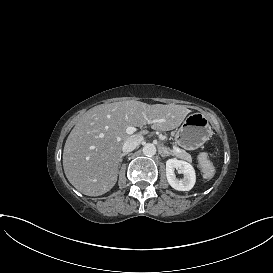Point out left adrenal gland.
<instances>
[{
  "instance_id": "1",
  "label": "left adrenal gland",
  "mask_w": 273,
  "mask_h": 273,
  "mask_svg": "<svg viewBox=\"0 0 273 273\" xmlns=\"http://www.w3.org/2000/svg\"><path fill=\"white\" fill-rule=\"evenodd\" d=\"M160 153H161V156H162V157L170 156V155L174 156L173 153L168 152V150H167L166 147H161V148H160Z\"/></svg>"
}]
</instances>
